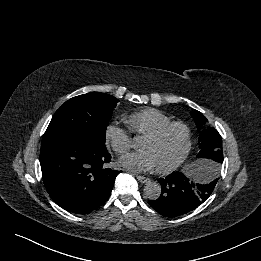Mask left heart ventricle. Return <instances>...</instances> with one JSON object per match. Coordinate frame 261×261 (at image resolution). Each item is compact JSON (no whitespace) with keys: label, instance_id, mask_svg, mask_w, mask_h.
Returning <instances> with one entry per match:
<instances>
[{"label":"left heart ventricle","instance_id":"left-heart-ventricle-1","mask_svg":"<svg viewBox=\"0 0 261 261\" xmlns=\"http://www.w3.org/2000/svg\"><path fill=\"white\" fill-rule=\"evenodd\" d=\"M186 145V135L183 129L174 127L161 139L152 141L144 138L140 149L149 152L154 158L156 167H165L176 161Z\"/></svg>","mask_w":261,"mask_h":261}]
</instances>
